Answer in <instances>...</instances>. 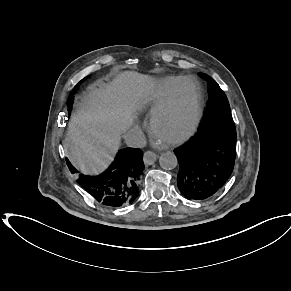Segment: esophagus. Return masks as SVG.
Wrapping results in <instances>:
<instances>
[{"label": "esophagus", "mask_w": 291, "mask_h": 291, "mask_svg": "<svg viewBox=\"0 0 291 291\" xmlns=\"http://www.w3.org/2000/svg\"><path fill=\"white\" fill-rule=\"evenodd\" d=\"M158 158V155L152 151H146L144 153V163L146 165H152Z\"/></svg>", "instance_id": "obj_1"}]
</instances>
